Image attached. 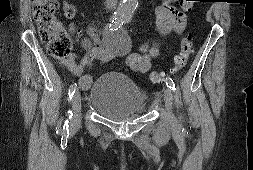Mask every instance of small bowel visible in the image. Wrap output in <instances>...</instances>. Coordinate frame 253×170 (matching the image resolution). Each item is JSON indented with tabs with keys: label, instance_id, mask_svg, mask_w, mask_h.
Listing matches in <instances>:
<instances>
[{
	"label": "small bowel",
	"instance_id": "1",
	"mask_svg": "<svg viewBox=\"0 0 253 170\" xmlns=\"http://www.w3.org/2000/svg\"><path fill=\"white\" fill-rule=\"evenodd\" d=\"M177 0H163V3L155 10L156 28L161 34L174 32L180 34L186 25V10H178L174 7ZM63 15L66 19H72L75 15V5L69 1L62 4ZM66 30L70 34L80 36V31L73 23L67 25ZM89 32L94 34L95 29L89 28ZM81 46L86 50L85 56L77 63L73 56L61 60V64L66 67L74 76L79 78V85L86 89L91 84V76L84 74V70L92 67L95 61L105 62L113 58L117 52L106 42L83 38ZM159 49L156 45L143 43L138 52L125 54V60L128 67L137 73L145 74L151 67V59L157 57Z\"/></svg>",
	"mask_w": 253,
	"mask_h": 170
}]
</instances>
